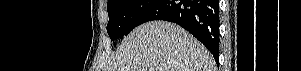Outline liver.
<instances>
[{"label": "liver", "instance_id": "obj_1", "mask_svg": "<svg viewBox=\"0 0 301 71\" xmlns=\"http://www.w3.org/2000/svg\"><path fill=\"white\" fill-rule=\"evenodd\" d=\"M106 71H216L207 48L178 25L147 22L123 39Z\"/></svg>", "mask_w": 301, "mask_h": 71}]
</instances>
